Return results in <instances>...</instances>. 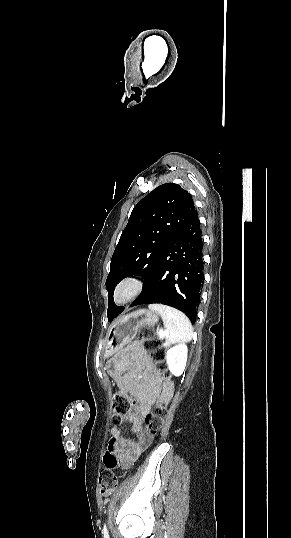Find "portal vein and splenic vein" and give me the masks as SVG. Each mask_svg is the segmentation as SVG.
Masks as SVG:
<instances>
[{
  "label": "portal vein and splenic vein",
  "instance_id": "obj_1",
  "mask_svg": "<svg viewBox=\"0 0 291 538\" xmlns=\"http://www.w3.org/2000/svg\"><path fill=\"white\" fill-rule=\"evenodd\" d=\"M166 335H167V332H165V331H160L159 332V338L160 339H163Z\"/></svg>",
  "mask_w": 291,
  "mask_h": 538
}]
</instances>
